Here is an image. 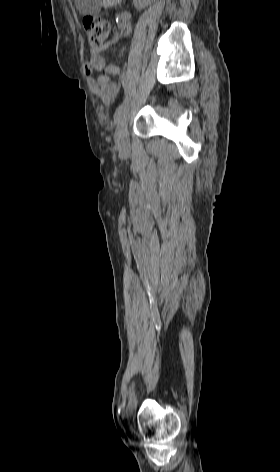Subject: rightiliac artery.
Returning a JSON list of instances; mask_svg holds the SVG:
<instances>
[{"instance_id": "obj_1", "label": "right iliac artery", "mask_w": 280, "mask_h": 472, "mask_svg": "<svg viewBox=\"0 0 280 472\" xmlns=\"http://www.w3.org/2000/svg\"><path fill=\"white\" fill-rule=\"evenodd\" d=\"M120 80L122 82V85L123 87L125 88L126 90V77L124 75V73L121 75L120 77ZM128 103H129V98H128V95L126 94L125 96V99L123 100V102L119 105V107L117 108L116 112H115V115H114V122L115 124H117L119 122V120L121 119L122 115L124 114V112L126 111V108L128 106Z\"/></svg>"}]
</instances>
